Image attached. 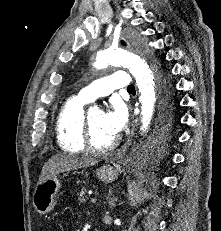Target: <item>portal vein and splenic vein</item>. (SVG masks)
<instances>
[{
	"label": "portal vein and splenic vein",
	"instance_id": "18ae733b",
	"mask_svg": "<svg viewBox=\"0 0 221 231\" xmlns=\"http://www.w3.org/2000/svg\"><path fill=\"white\" fill-rule=\"evenodd\" d=\"M96 201H97V198H96V197H91V202H92V203H96Z\"/></svg>",
	"mask_w": 221,
	"mask_h": 231
}]
</instances>
